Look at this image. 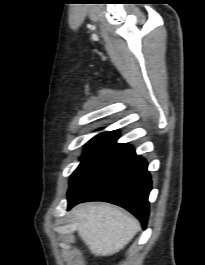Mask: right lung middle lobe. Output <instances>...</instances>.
Instances as JSON below:
<instances>
[{
  "instance_id": "right-lung-middle-lobe-1",
  "label": "right lung middle lobe",
  "mask_w": 205,
  "mask_h": 265,
  "mask_svg": "<svg viewBox=\"0 0 205 265\" xmlns=\"http://www.w3.org/2000/svg\"><path fill=\"white\" fill-rule=\"evenodd\" d=\"M117 131L103 132L87 142L80 165L71 175L69 190H71L92 167V165L105 153V151L117 140Z\"/></svg>"
}]
</instances>
